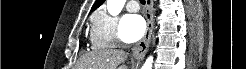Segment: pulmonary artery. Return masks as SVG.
Wrapping results in <instances>:
<instances>
[{
	"instance_id": "pulmonary-artery-1",
	"label": "pulmonary artery",
	"mask_w": 246,
	"mask_h": 69,
	"mask_svg": "<svg viewBox=\"0 0 246 69\" xmlns=\"http://www.w3.org/2000/svg\"><path fill=\"white\" fill-rule=\"evenodd\" d=\"M126 8L130 12L138 11L139 7L136 1H128L126 4Z\"/></svg>"
}]
</instances>
